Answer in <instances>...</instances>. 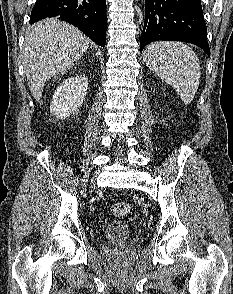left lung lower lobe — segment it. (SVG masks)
I'll use <instances>...</instances> for the list:
<instances>
[{
  "label": "left lung lower lobe",
  "mask_w": 233,
  "mask_h": 294,
  "mask_svg": "<svg viewBox=\"0 0 233 294\" xmlns=\"http://www.w3.org/2000/svg\"><path fill=\"white\" fill-rule=\"evenodd\" d=\"M145 9L140 51L153 41L169 40L195 44L210 56L200 0H145Z\"/></svg>",
  "instance_id": "0a47b994"
}]
</instances>
